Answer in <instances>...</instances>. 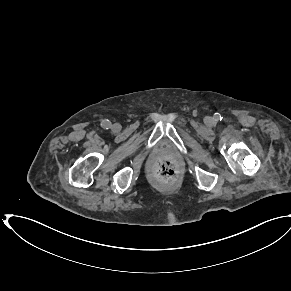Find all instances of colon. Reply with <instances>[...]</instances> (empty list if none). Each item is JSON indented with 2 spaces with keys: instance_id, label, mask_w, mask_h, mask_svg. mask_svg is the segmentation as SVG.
<instances>
[{
  "instance_id": "5ec220e1",
  "label": "colon",
  "mask_w": 291,
  "mask_h": 291,
  "mask_svg": "<svg viewBox=\"0 0 291 291\" xmlns=\"http://www.w3.org/2000/svg\"><path fill=\"white\" fill-rule=\"evenodd\" d=\"M177 169L174 162L164 159L156 166L157 179L162 183L172 182L176 177Z\"/></svg>"
}]
</instances>
